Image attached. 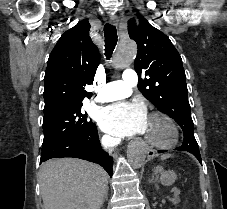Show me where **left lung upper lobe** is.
<instances>
[{"label":"left lung upper lobe","instance_id":"left-lung-upper-lobe-1","mask_svg":"<svg viewBox=\"0 0 227 209\" xmlns=\"http://www.w3.org/2000/svg\"><path fill=\"white\" fill-rule=\"evenodd\" d=\"M130 23L129 36L138 45L134 68L139 76L138 89L160 112L174 119L182 128V150L199 152L194 137L186 76L182 59L170 39L161 31L139 18ZM141 75L147 76L141 79Z\"/></svg>","mask_w":227,"mask_h":209}]
</instances>
